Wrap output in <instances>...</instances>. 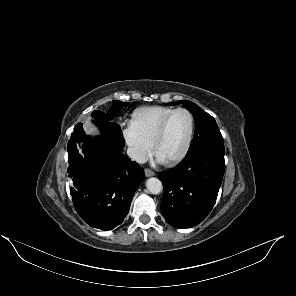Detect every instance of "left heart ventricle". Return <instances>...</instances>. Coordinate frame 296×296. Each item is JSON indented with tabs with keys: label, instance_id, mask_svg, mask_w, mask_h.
Wrapping results in <instances>:
<instances>
[{
	"label": "left heart ventricle",
	"instance_id": "b2bd125f",
	"mask_svg": "<svg viewBox=\"0 0 296 296\" xmlns=\"http://www.w3.org/2000/svg\"><path fill=\"white\" fill-rule=\"evenodd\" d=\"M190 126L188 114L185 112L175 114L157 146L156 157L162 162H166L178 155L186 145Z\"/></svg>",
	"mask_w": 296,
	"mask_h": 296
}]
</instances>
